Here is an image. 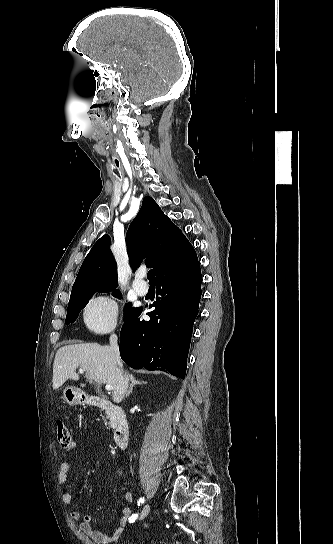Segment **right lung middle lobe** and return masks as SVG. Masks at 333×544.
Listing matches in <instances>:
<instances>
[{"label":"right lung middle lobe","mask_w":333,"mask_h":544,"mask_svg":"<svg viewBox=\"0 0 333 544\" xmlns=\"http://www.w3.org/2000/svg\"><path fill=\"white\" fill-rule=\"evenodd\" d=\"M97 290H93V291H89V292H86L84 294H80V295H77L75 297H72L70 298L69 300V303H68V311H67V316H66V324H70V323H73L76 318L78 317V314L79 312L81 311V309H83L86 304L88 303V301L90 300V298L93 296V294L96 292ZM109 291H112V290H99L98 292H109ZM112 295L116 298H122L121 294H120V291L119 290H114ZM137 308H132L131 307V303L127 304L125 306V310H124V313H125V320L133 313L136 311Z\"/></svg>","instance_id":"right-lung-middle-lobe-1"}]
</instances>
